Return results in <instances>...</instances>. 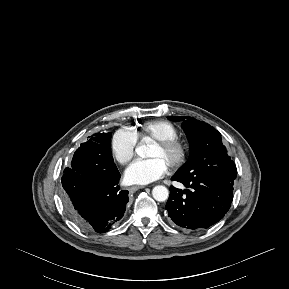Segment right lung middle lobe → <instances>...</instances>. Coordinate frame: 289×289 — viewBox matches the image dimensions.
<instances>
[{"instance_id": "right-lung-middle-lobe-1", "label": "right lung middle lobe", "mask_w": 289, "mask_h": 289, "mask_svg": "<svg viewBox=\"0 0 289 289\" xmlns=\"http://www.w3.org/2000/svg\"><path fill=\"white\" fill-rule=\"evenodd\" d=\"M111 133H96L76 150L72 162V169L76 170L79 163L88 161L96 166L97 170L115 168L111 153Z\"/></svg>"}]
</instances>
